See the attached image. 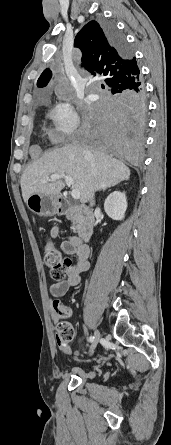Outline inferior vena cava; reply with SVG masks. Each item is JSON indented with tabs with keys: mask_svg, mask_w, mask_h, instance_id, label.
<instances>
[{
	"mask_svg": "<svg viewBox=\"0 0 171 445\" xmlns=\"http://www.w3.org/2000/svg\"><path fill=\"white\" fill-rule=\"evenodd\" d=\"M86 156H87V158L89 160L92 174L95 175V159H94L93 155L89 151H86ZM93 205H94V201L92 200L91 203H90V206H93Z\"/></svg>",
	"mask_w": 171,
	"mask_h": 445,
	"instance_id": "inferior-vena-cava-1",
	"label": "inferior vena cava"
}]
</instances>
